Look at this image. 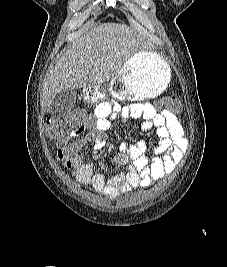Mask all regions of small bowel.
I'll return each instance as SVG.
<instances>
[{"mask_svg": "<svg viewBox=\"0 0 227 267\" xmlns=\"http://www.w3.org/2000/svg\"><path fill=\"white\" fill-rule=\"evenodd\" d=\"M95 120H88L70 126L64 136L56 140L57 155L63 165L79 184L90 186L96 193L115 198L121 193L137 187H148L174 172L188 149V140L175 114L168 110L158 111L148 103H133L120 106L112 102H100L94 109ZM127 123L142 120L144 131H155L154 151L158 155L151 160L146 156L147 142L124 145L123 151L134 162L125 170L106 176L95 172L82 152L87 143H93L95 150L105 147L103 134L112 128V121ZM84 133L85 136L81 137Z\"/></svg>", "mask_w": 227, "mask_h": 267, "instance_id": "c3829d8e", "label": "small bowel"}]
</instances>
